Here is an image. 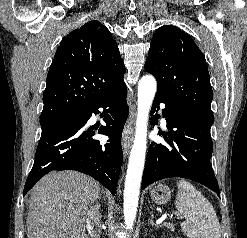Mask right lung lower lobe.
<instances>
[{
	"label": "right lung lower lobe",
	"instance_id": "98d812e1",
	"mask_svg": "<svg viewBox=\"0 0 247 238\" xmlns=\"http://www.w3.org/2000/svg\"><path fill=\"white\" fill-rule=\"evenodd\" d=\"M99 108L105 109L106 126L89 127L87 121L92 114L99 113ZM127 116L126 84L123 83L94 103L73 112L61 123L42 131L23 196L53 170L85 173L114 195L123 160L121 134ZM96 133L111 138L103 144L92 138Z\"/></svg>",
	"mask_w": 247,
	"mask_h": 238
}]
</instances>
